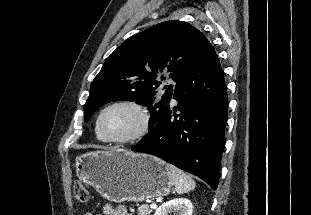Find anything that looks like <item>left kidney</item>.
Masks as SVG:
<instances>
[{
  "mask_svg": "<svg viewBox=\"0 0 311 215\" xmlns=\"http://www.w3.org/2000/svg\"><path fill=\"white\" fill-rule=\"evenodd\" d=\"M193 205L187 198L170 200L157 208L154 215H168L175 212L178 215H192Z\"/></svg>",
  "mask_w": 311,
  "mask_h": 215,
  "instance_id": "1",
  "label": "left kidney"
}]
</instances>
